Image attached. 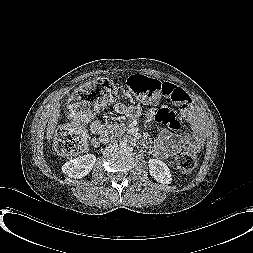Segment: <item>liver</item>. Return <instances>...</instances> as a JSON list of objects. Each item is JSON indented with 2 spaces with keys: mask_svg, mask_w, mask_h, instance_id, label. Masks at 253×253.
Masks as SVG:
<instances>
[{
  "mask_svg": "<svg viewBox=\"0 0 253 253\" xmlns=\"http://www.w3.org/2000/svg\"><path fill=\"white\" fill-rule=\"evenodd\" d=\"M60 104L57 102L52 108L50 113V118L47 125V132H46V138L50 142L52 139V135L54 133V130L58 124V119L60 116Z\"/></svg>",
  "mask_w": 253,
  "mask_h": 253,
  "instance_id": "1",
  "label": "liver"
}]
</instances>
